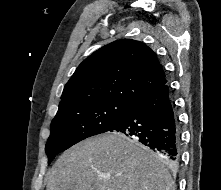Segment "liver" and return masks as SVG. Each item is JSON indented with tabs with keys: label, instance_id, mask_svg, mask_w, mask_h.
I'll return each mask as SVG.
<instances>
[{
	"label": "liver",
	"instance_id": "1",
	"mask_svg": "<svg viewBox=\"0 0 221 190\" xmlns=\"http://www.w3.org/2000/svg\"><path fill=\"white\" fill-rule=\"evenodd\" d=\"M46 180V190H174L168 169L120 133L74 145L58 158Z\"/></svg>",
	"mask_w": 221,
	"mask_h": 190
}]
</instances>
